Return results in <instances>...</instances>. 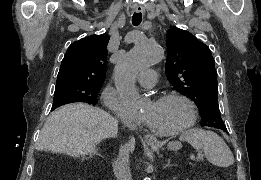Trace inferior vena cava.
<instances>
[{"instance_id":"obj_1","label":"inferior vena cava","mask_w":261,"mask_h":180,"mask_svg":"<svg viewBox=\"0 0 261 180\" xmlns=\"http://www.w3.org/2000/svg\"><path fill=\"white\" fill-rule=\"evenodd\" d=\"M131 128H133V126H131ZM115 166L117 168L116 176H118V178H126V176L130 178L129 156L126 148H120Z\"/></svg>"}]
</instances>
